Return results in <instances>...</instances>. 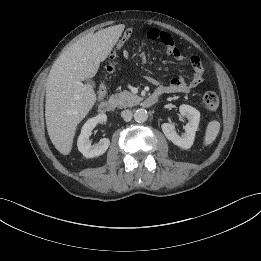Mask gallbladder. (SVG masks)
I'll list each match as a JSON object with an SVG mask.
<instances>
[{
  "label": "gallbladder",
  "mask_w": 261,
  "mask_h": 261,
  "mask_svg": "<svg viewBox=\"0 0 261 261\" xmlns=\"http://www.w3.org/2000/svg\"><path fill=\"white\" fill-rule=\"evenodd\" d=\"M86 83H87L88 85H90V86H93V85H94V83H93L92 80H87Z\"/></svg>",
  "instance_id": "1"
}]
</instances>
